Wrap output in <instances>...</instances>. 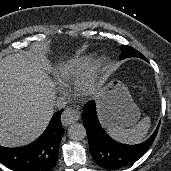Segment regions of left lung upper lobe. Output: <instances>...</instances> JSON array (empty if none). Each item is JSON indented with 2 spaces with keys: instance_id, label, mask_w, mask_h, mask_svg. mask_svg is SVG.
<instances>
[{
  "instance_id": "left-lung-upper-lobe-1",
  "label": "left lung upper lobe",
  "mask_w": 171,
  "mask_h": 171,
  "mask_svg": "<svg viewBox=\"0 0 171 171\" xmlns=\"http://www.w3.org/2000/svg\"><path fill=\"white\" fill-rule=\"evenodd\" d=\"M121 56L120 59H124L127 57H138L144 60H147L139 51L130 47V46H121Z\"/></svg>"
}]
</instances>
